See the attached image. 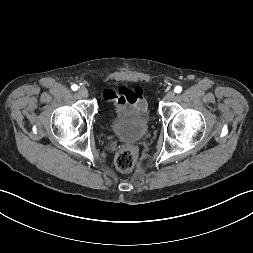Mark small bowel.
<instances>
[{
	"instance_id": "c3829d8e",
	"label": "small bowel",
	"mask_w": 253,
	"mask_h": 253,
	"mask_svg": "<svg viewBox=\"0 0 253 253\" xmlns=\"http://www.w3.org/2000/svg\"><path fill=\"white\" fill-rule=\"evenodd\" d=\"M105 100L113 101L117 109L142 111L146 107V101L143 97V90L140 87L127 88L121 87L118 90L107 89L103 92Z\"/></svg>"
}]
</instances>
